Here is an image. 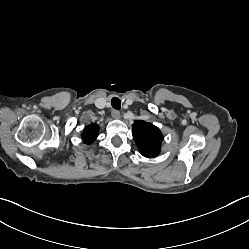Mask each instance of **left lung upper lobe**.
I'll list each match as a JSON object with an SVG mask.
<instances>
[{"mask_svg": "<svg viewBox=\"0 0 249 249\" xmlns=\"http://www.w3.org/2000/svg\"><path fill=\"white\" fill-rule=\"evenodd\" d=\"M132 133L135 143L143 156L147 158L158 156L163 141L162 133L158 127L151 123L137 120L132 125Z\"/></svg>", "mask_w": 249, "mask_h": 249, "instance_id": "obj_1", "label": "left lung upper lobe"}]
</instances>
